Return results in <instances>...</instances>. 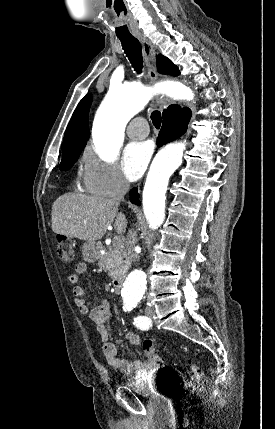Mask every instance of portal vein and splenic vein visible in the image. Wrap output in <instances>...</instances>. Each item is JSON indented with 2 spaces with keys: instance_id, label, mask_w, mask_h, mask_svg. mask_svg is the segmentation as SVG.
Returning <instances> with one entry per match:
<instances>
[{
  "instance_id": "18ae733b",
  "label": "portal vein and splenic vein",
  "mask_w": 275,
  "mask_h": 429,
  "mask_svg": "<svg viewBox=\"0 0 275 429\" xmlns=\"http://www.w3.org/2000/svg\"><path fill=\"white\" fill-rule=\"evenodd\" d=\"M118 241H120V240H119L118 238H116V239L113 241V243H114V242H118Z\"/></svg>"
}]
</instances>
